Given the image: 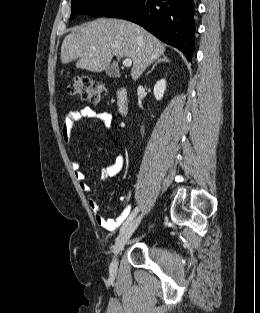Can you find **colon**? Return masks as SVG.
<instances>
[{
	"label": "colon",
	"mask_w": 260,
	"mask_h": 313,
	"mask_svg": "<svg viewBox=\"0 0 260 313\" xmlns=\"http://www.w3.org/2000/svg\"><path fill=\"white\" fill-rule=\"evenodd\" d=\"M67 92L83 100L98 102L103 92V86L88 77H76L68 84Z\"/></svg>",
	"instance_id": "colon-1"
}]
</instances>
